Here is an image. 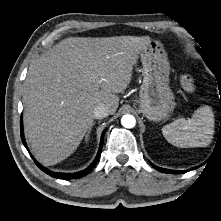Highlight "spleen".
<instances>
[{
  "label": "spleen",
  "mask_w": 221,
  "mask_h": 221,
  "mask_svg": "<svg viewBox=\"0 0 221 221\" xmlns=\"http://www.w3.org/2000/svg\"><path fill=\"white\" fill-rule=\"evenodd\" d=\"M214 133V115L207 105L198 108L192 118H179L162 128L165 139L181 148L205 147Z\"/></svg>",
  "instance_id": "spleen-1"
}]
</instances>
